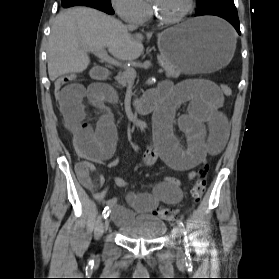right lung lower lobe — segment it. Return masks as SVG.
I'll return each mask as SVG.
<instances>
[{"instance_id": "right-lung-lower-lobe-1", "label": "right lung lower lobe", "mask_w": 279, "mask_h": 279, "mask_svg": "<svg viewBox=\"0 0 279 279\" xmlns=\"http://www.w3.org/2000/svg\"><path fill=\"white\" fill-rule=\"evenodd\" d=\"M61 1H62V6L64 8L82 5V6H89V7L99 9L108 14L114 13L112 7H107L103 5L101 2H99V0H61Z\"/></svg>"}]
</instances>
